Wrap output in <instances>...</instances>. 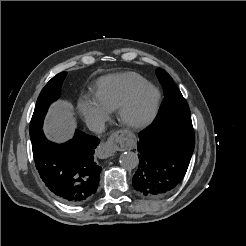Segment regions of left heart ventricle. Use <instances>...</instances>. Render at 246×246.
<instances>
[{"mask_svg": "<svg viewBox=\"0 0 246 246\" xmlns=\"http://www.w3.org/2000/svg\"><path fill=\"white\" fill-rule=\"evenodd\" d=\"M149 101L150 96L148 94L140 96L132 105L129 111V116L134 119L141 117L146 112L149 106Z\"/></svg>", "mask_w": 246, "mask_h": 246, "instance_id": "b2bd125f", "label": "left heart ventricle"}]
</instances>
